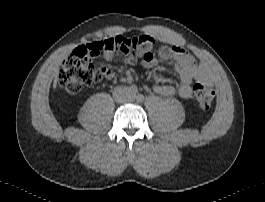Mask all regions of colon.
<instances>
[{
    "mask_svg": "<svg viewBox=\"0 0 265 202\" xmlns=\"http://www.w3.org/2000/svg\"><path fill=\"white\" fill-rule=\"evenodd\" d=\"M146 36L134 38L114 36L102 38L89 45L92 56L103 52L127 54L135 49H144L147 55L152 54V46L145 44ZM87 54L73 53L68 56L58 73L59 85L66 91L76 94L85 86L104 80H112L115 72L109 67H96ZM195 100L199 107L209 108L215 100V89L211 85L196 83L193 87Z\"/></svg>",
    "mask_w": 265,
    "mask_h": 202,
    "instance_id": "obj_1",
    "label": "colon"
}]
</instances>
